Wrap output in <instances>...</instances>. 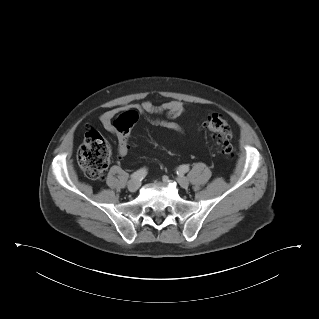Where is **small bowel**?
Wrapping results in <instances>:
<instances>
[{
	"mask_svg": "<svg viewBox=\"0 0 319 319\" xmlns=\"http://www.w3.org/2000/svg\"><path fill=\"white\" fill-rule=\"evenodd\" d=\"M139 112L153 125L164 127L178 134L184 133V128L175 119L186 112V106L180 101H169L156 105L149 100H144L135 106ZM118 113L117 109H111L104 112L100 121L105 130L116 134V128L113 119ZM129 149V141L123 142L118 136V152L125 155Z\"/></svg>",
	"mask_w": 319,
	"mask_h": 319,
	"instance_id": "small-bowel-1",
	"label": "small bowel"
}]
</instances>
